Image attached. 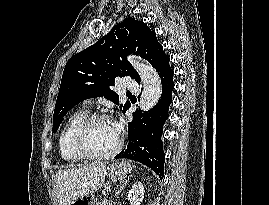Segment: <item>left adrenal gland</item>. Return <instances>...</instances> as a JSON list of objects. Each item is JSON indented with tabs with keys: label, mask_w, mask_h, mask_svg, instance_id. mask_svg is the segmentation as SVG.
Wrapping results in <instances>:
<instances>
[{
	"label": "left adrenal gland",
	"mask_w": 269,
	"mask_h": 205,
	"mask_svg": "<svg viewBox=\"0 0 269 205\" xmlns=\"http://www.w3.org/2000/svg\"><path fill=\"white\" fill-rule=\"evenodd\" d=\"M130 179L126 180L123 184L120 185L118 191L116 192V194H120L122 192V190L127 186V184L130 182Z\"/></svg>",
	"instance_id": "left-adrenal-gland-1"
}]
</instances>
